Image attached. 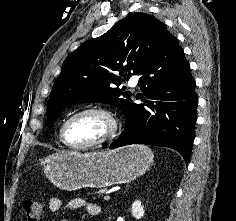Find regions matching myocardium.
Listing matches in <instances>:
<instances>
[{"label":"myocardium","instance_id":"f54148a6","mask_svg":"<svg viewBox=\"0 0 236 221\" xmlns=\"http://www.w3.org/2000/svg\"><path fill=\"white\" fill-rule=\"evenodd\" d=\"M88 113H99V114L104 115L110 122L111 127H110L109 133L105 137L89 144L74 145L70 143L66 138V128L68 124L76 117L84 115V114H88ZM119 131H120V121L112 110L104 106H90V107L83 108L73 113L63 122L60 128V139L63 142V144L66 145L68 148L75 149V150H88V149L105 145L113 141L118 136Z\"/></svg>","mask_w":236,"mask_h":221}]
</instances>
